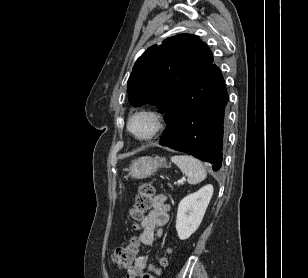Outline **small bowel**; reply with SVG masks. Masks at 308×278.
Listing matches in <instances>:
<instances>
[{"label":"small bowel","mask_w":308,"mask_h":278,"mask_svg":"<svg viewBox=\"0 0 308 278\" xmlns=\"http://www.w3.org/2000/svg\"><path fill=\"white\" fill-rule=\"evenodd\" d=\"M169 204L163 194L153 198L151 209L142 218L139 241L142 247L152 245L156 236H161L169 222ZM149 259L146 255H139L133 265L128 268L126 278H138L148 266Z\"/></svg>","instance_id":"c3829d8e"}]
</instances>
